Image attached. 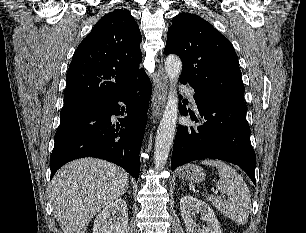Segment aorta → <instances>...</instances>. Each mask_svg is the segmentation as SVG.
<instances>
[{
    "instance_id": "762f6f07",
    "label": "aorta",
    "mask_w": 306,
    "mask_h": 233,
    "mask_svg": "<svg viewBox=\"0 0 306 233\" xmlns=\"http://www.w3.org/2000/svg\"><path fill=\"white\" fill-rule=\"evenodd\" d=\"M181 70L182 62L180 58L175 55H169L165 60V71L170 79L171 88L157 130L154 148V165L158 170L163 169L167 162L176 131L178 97L175 90V83L180 76Z\"/></svg>"
}]
</instances>
